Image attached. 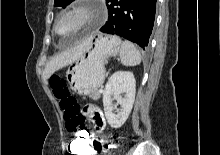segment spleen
<instances>
[{
	"instance_id": "spleen-1",
	"label": "spleen",
	"mask_w": 220,
	"mask_h": 155,
	"mask_svg": "<svg viewBox=\"0 0 220 155\" xmlns=\"http://www.w3.org/2000/svg\"><path fill=\"white\" fill-rule=\"evenodd\" d=\"M121 63L124 66H136L141 63V55L129 41H123L120 49Z\"/></svg>"
}]
</instances>
